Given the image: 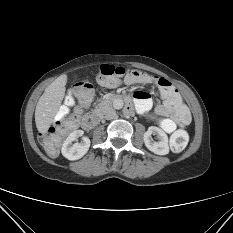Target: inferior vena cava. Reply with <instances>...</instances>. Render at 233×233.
Returning a JSON list of instances; mask_svg holds the SVG:
<instances>
[{"instance_id":"602c4592","label":"inferior vena cava","mask_w":233,"mask_h":233,"mask_svg":"<svg viewBox=\"0 0 233 233\" xmlns=\"http://www.w3.org/2000/svg\"><path fill=\"white\" fill-rule=\"evenodd\" d=\"M116 116H117L116 111L112 107H109L105 112V118L107 120L114 119Z\"/></svg>"}]
</instances>
